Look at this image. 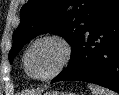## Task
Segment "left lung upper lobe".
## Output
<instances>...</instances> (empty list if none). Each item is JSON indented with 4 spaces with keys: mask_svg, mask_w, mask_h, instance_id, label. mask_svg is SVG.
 I'll return each mask as SVG.
<instances>
[{
    "mask_svg": "<svg viewBox=\"0 0 119 95\" xmlns=\"http://www.w3.org/2000/svg\"><path fill=\"white\" fill-rule=\"evenodd\" d=\"M112 0H28L20 11V25L13 34L10 63L21 48L36 36L51 32L72 47L69 65L88 28ZM68 65V66H69Z\"/></svg>",
    "mask_w": 119,
    "mask_h": 95,
    "instance_id": "5c2ea615",
    "label": "left lung upper lobe"
}]
</instances>
